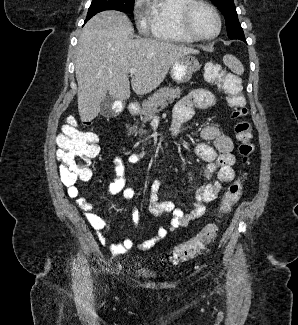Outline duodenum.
Segmentation results:
<instances>
[{"label":"duodenum","instance_id":"obj_1","mask_svg":"<svg viewBox=\"0 0 298 325\" xmlns=\"http://www.w3.org/2000/svg\"><path fill=\"white\" fill-rule=\"evenodd\" d=\"M139 106L136 102L129 103L128 111L130 115H136L138 113Z\"/></svg>","mask_w":298,"mask_h":325}]
</instances>
